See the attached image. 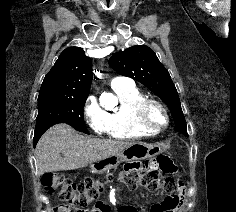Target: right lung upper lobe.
Instances as JSON below:
<instances>
[{"label":"right lung upper lobe","instance_id":"1","mask_svg":"<svg viewBox=\"0 0 236 212\" xmlns=\"http://www.w3.org/2000/svg\"><path fill=\"white\" fill-rule=\"evenodd\" d=\"M92 62L80 47H68L45 76L38 99L89 95Z\"/></svg>","mask_w":236,"mask_h":212}]
</instances>
